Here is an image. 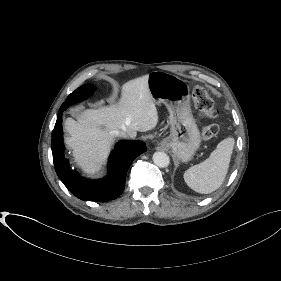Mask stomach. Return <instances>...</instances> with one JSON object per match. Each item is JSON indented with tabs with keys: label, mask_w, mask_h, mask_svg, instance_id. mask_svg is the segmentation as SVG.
Masks as SVG:
<instances>
[{
	"label": "stomach",
	"mask_w": 281,
	"mask_h": 281,
	"mask_svg": "<svg viewBox=\"0 0 281 281\" xmlns=\"http://www.w3.org/2000/svg\"><path fill=\"white\" fill-rule=\"evenodd\" d=\"M148 87L154 103H163L170 113V135L160 144L181 161L190 160L201 138L191 113L187 83L173 74L153 71L148 75Z\"/></svg>",
	"instance_id": "1"
}]
</instances>
